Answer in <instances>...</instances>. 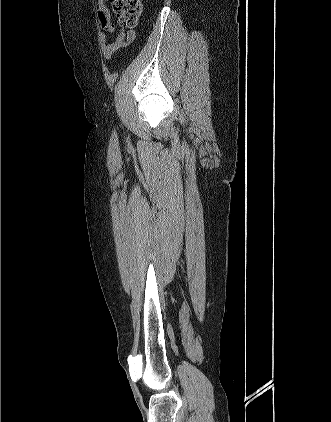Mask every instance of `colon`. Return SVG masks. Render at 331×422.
I'll return each mask as SVG.
<instances>
[{
	"mask_svg": "<svg viewBox=\"0 0 331 422\" xmlns=\"http://www.w3.org/2000/svg\"><path fill=\"white\" fill-rule=\"evenodd\" d=\"M111 9L120 23L127 27H134L142 12L141 0H108Z\"/></svg>",
	"mask_w": 331,
	"mask_h": 422,
	"instance_id": "1",
	"label": "colon"
}]
</instances>
